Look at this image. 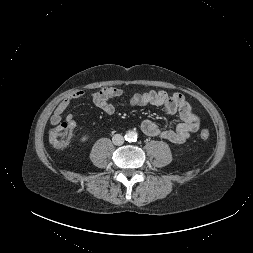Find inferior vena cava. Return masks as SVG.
Wrapping results in <instances>:
<instances>
[{"mask_svg": "<svg viewBox=\"0 0 253 253\" xmlns=\"http://www.w3.org/2000/svg\"><path fill=\"white\" fill-rule=\"evenodd\" d=\"M112 141L115 145H122L124 143V138L120 134H115L112 138Z\"/></svg>", "mask_w": 253, "mask_h": 253, "instance_id": "1", "label": "inferior vena cava"}]
</instances>
